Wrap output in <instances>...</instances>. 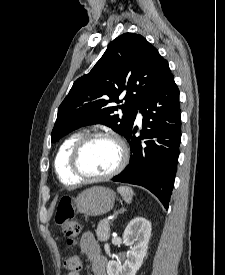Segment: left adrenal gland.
Wrapping results in <instances>:
<instances>
[{"label": "left adrenal gland", "instance_id": "a2214340", "mask_svg": "<svg viewBox=\"0 0 225 275\" xmlns=\"http://www.w3.org/2000/svg\"><path fill=\"white\" fill-rule=\"evenodd\" d=\"M124 211H125V209L122 208V209H120V210L117 212V214H118V213H122V212H124Z\"/></svg>", "mask_w": 225, "mask_h": 275}]
</instances>
